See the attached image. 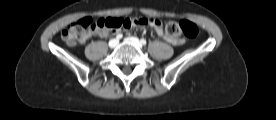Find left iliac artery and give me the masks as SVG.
I'll use <instances>...</instances> for the list:
<instances>
[{
    "label": "left iliac artery",
    "mask_w": 276,
    "mask_h": 120,
    "mask_svg": "<svg viewBox=\"0 0 276 120\" xmlns=\"http://www.w3.org/2000/svg\"><path fill=\"white\" fill-rule=\"evenodd\" d=\"M140 42H141L143 45H146V43H147V41H146L144 38H142V39L140 40Z\"/></svg>",
    "instance_id": "left-iliac-artery-1"
}]
</instances>
